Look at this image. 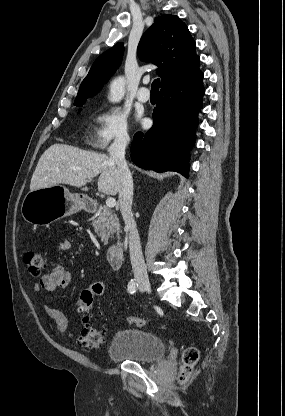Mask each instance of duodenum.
<instances>
[{"label": "duodenum", "mask_w": 285, "mask_h": 416, "mask_svg": "<svg viewBox=\"0 0 285 416\" xmlns=\"http://www.w3.org/2000/svg\"><path fill=\"white\" fill-rule=\"evenodd\" d=\"M79 200L81 201L82 206L90 212H95L97 210L96 197H88L86 193H81L79 195ZM125 245L124 242L118 241L111 244L107 249V259L109 267L112 270H119L122 267V261L124 256Z\"/></svg>", "instance_id": "1"}]
</instances>
